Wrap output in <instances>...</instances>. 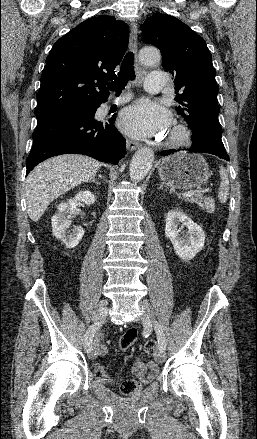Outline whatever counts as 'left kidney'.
<instances>
[{
  "label": "left kidney",
  "instance_id": "5707ae66",
  "mask_svg": "<svg viewBox=\"0 0 257 439\" xmlns=\"http://www.w3.org/2000/svg\"><path fill=\"white\" fill-rule=\"evenodd\" d=\"M165 223V235L173 244L175 253L184 261L193 259L204 247L205 234L200 226L178 209L168 212ZM187 230L181 233V228Z\"/></svg>",
  "mask_w": 257,
  "mask_h": 439
}]
</instances>
